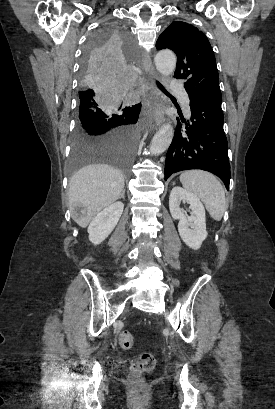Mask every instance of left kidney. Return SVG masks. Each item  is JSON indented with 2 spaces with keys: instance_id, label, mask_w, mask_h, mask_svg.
Returning <instances> with one entry per match:
<instances>
[{
  "instance_id": "left-kidney-1",
  "label": "left kidney",
  "mask_w": 275,
  "mask_h": 409,
  "mask_svg": "<svg viewBox=\"0 0 275 409\" xmlns=\"http://www.w3.org/2000/svg\"><path fill=\"white\" fill-rule=\"evenodd\" d=\"M181 200L190 205V209H192L191 217H186L183 209H180ZM169 209L173 219H179L178 231L182 241L190 249H200L208 235L205 209L200 198L189 192V190L181 188V186H174L169 196Z\"/></svg>"
}]
</instances>
